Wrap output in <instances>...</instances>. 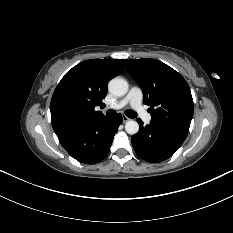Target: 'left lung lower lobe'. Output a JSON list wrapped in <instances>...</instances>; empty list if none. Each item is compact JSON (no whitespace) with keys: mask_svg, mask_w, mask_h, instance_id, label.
Instances as JSON below:
<instances>
[{"mask_svg":"<svg viewBox=\"0 0 233 233\" xmlns=\"http://www.w3.org/2000/svg\"><path fill=\"white\" fill-rule=\"evenodd\" d=\"M137 121L140 131L132 137V145L137 155L150 163L170 158L188 134V131L154 120L147 126H143L141 119Z\"/></svg>","mask_w":233,"mask_h":233,"instance_id":"obj_1","label":"left lung lower lobe"}]
</instances>
